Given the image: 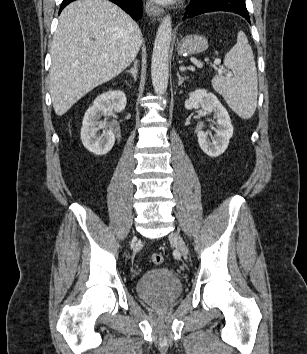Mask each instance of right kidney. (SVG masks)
I'll list each match as a JSON object with an SVG mask.
<instances>
[{"label": "right kidney", "mask_w": 307, "mask_h": 354, "mask_svg": "<svg viewBox=\"0 0 307 354\" xmlns=\"http://www.w3.org/2000/svg\"><path fill=\"white\" fill-rule=\"evenodd\" d=\"M126 103V95L120 90L108 91L94 100L93 105L84 115L81 128V141L88 151L101 156L112 149L115 143L114 133L112 130H103L102 134H98L100 129L105 128L100 118L106 116L113 109L115 111L124 110Z\"/></svg>", "instance_id": "right-kidney-1"}]
</instances>
